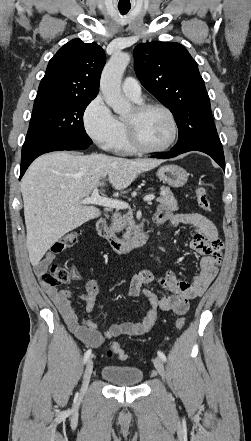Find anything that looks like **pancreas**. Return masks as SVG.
Wrapping results in <instances>:
<instances>
[{"label":"pancreas","instance_id":"pancreas-1","mask_svg":"<svg viewBox=\"0 0 251 441\" xmlns=\"http://www.w3.org/2000/svg\"><path fill=\"white\" fill-rule=\"evenodd\" d=\"M161 192L162 195L159 198H157V202L166 206L169 210L177 211L178 210L177 201L175 200L174 195L171 192L170 188L163 186L161 187ZM127 226H128L127 233L125 234L124 237H128L134 229L132 213H127L124 215H121L120 213L114 214L111 224L112 232H119Z\"/></svg>","mask_w":251,"mask_h":441}]
</instances>
